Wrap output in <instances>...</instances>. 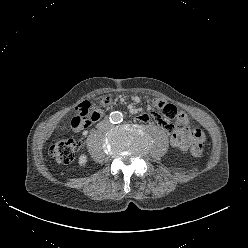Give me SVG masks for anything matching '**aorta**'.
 Masks as SVG:
<instances>
[{"instance_id":"aorta-1","label":"aorta","mask_w":248,"mask_h":248,"mask_svg":"<svg viewBox=\"0 0 248 248\" xmlns=\"http://www.w3.org/2000/svg\"><path fill=\"white\" fill-rule=\"evenodd\" d=\"M123 120V115L121 112L115 111L110 114V121L112 123H120Z\"/></svg>"}]
</instances>
